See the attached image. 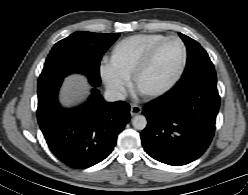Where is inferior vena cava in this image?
Listing matches in <instances>:
<instances>
[{
	"label": "inferior vena cava",
	"instance_id": "inferior-vena-cava-1",
	"mask_svg": "<svg viewBox=\"0 0 248 195\" xmlns=\"http://www.w3.org/2000/svg\"><path fill=\"white\" fill-rule=\"evenodd\" d=\"M104 98L108 102H114L125 99V93L117 89H106Z\"/></svg>",
	"mask_w": 248,
	"mask_h": 195
}]
</instances>
